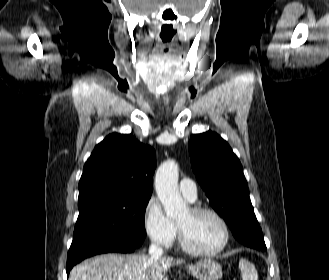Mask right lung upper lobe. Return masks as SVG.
<instances>
[{"instance_id": "right-lung-upper-lobe-1", "label": "right lung upper lobe", "mask_w": 329, "mask_h": 280, "mask_svg": "<svg viewBox=\"0 0 329 280\" xmlns=\"http://www.w3.org/2000/svg\"><path fill=\"white\" fill-rule=\"evenodd\" d=\"M155 150L132 134L112 133L99 143L83 168L79 201L119 196H151Z\"/></svg>"}]
</instances>
